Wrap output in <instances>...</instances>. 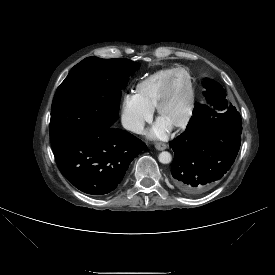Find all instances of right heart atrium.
Masks as SVG:
<instances>
[{
    "mask_svg": "<svg viewBox=\"0 0 275 275\" xmlns=\"http://www.w3.org/2000/svg\"><path fill=\"white\" fill-rule=\"evenodd\" d=\"M152 110L145 107L134 94L123 96L120 104V119L123 127L133 133L143 132L152 118Z\"/></svg>",
    "mask_w": 275,
    "mask_h": 275,
    "instance_id": "right-heart-atrium-1",
    "label": "right heart atrium"
}]
</instances>
